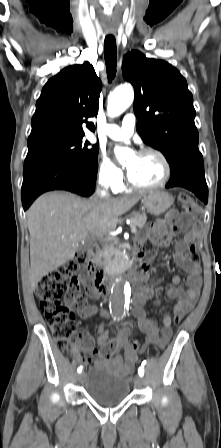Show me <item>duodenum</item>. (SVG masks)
Wrapping results in <instances>:
<instances>
[{
  "mask_svg": "<svg viewBox=\"0 0 221 448\" xmlns=\"http://www.w3.org/2000/svg\"><path fill=\"white\" fill-rule=\"evenodd\" d=\"M89 258L90 261L88 267L93 276L90 287L96 293V295L100 297H106L110 294L111 287L114 281L113 276L103 270L98 262L97 257L95 256V252L91 251L89 254ZM143 281L142 267L140 265H136L132 273L131 282L136 286H141L143 284Z\"/></svg>",
  "mask_w": 221,
  "mask_h": 448,
  "instance_id": "obj_1",
  "label": "duodenum"
}]
</instances>
